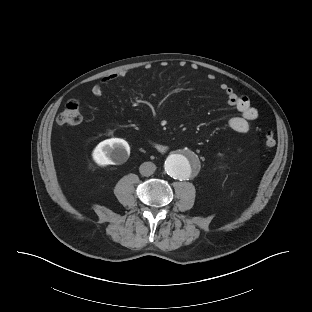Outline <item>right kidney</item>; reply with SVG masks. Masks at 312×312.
Wrapping results in <instances>:
<instances>
[{
  "label": "right kidney",
  "mask_w": 312,
  "mask_h": 312,
  "mask_svg": "<svg viewBox=\"0 0 312 312\" xmlns=\"http://www.w3.org/2000/svg\"><path fill=\"white\" fill-rule=\"evenodd\" d=\"M130 154L127 141L120 138H111L100 142L93 150L92 157L99 166L121 164Z\"/></svg>",
  "instance_id": "1"
}]
</instances>
